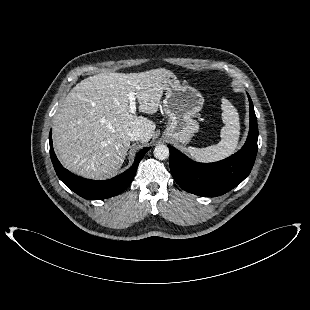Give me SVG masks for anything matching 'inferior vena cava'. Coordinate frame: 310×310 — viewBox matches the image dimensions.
Masks as SVG:
<instances>
[{
  "instance_id": "obj_1",
  "label": "inferior vena cava",
  "mask_w": 310,
  "mask_h": 310,
  "mask_svg": "<svg viewBox=\"0 0 310 310\" xmlns=\"http://www.w3.org/2000/svg\"><path fill=\"white\" fill-rule=\"evenodd\" d=\"M128 137H129L130 141H137V140L141 139L142 135H141L140 131L133 130V131L128 133Z\"/></svg>"
}]
</instances>
